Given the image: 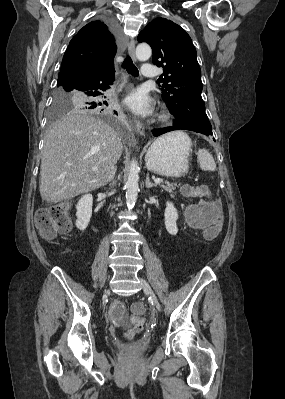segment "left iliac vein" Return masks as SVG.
I'll return each instance as SVG.
<instances>
[{
  "label": "left iliac vein",
  "instance_id": "left-iliac-vein-1",
  "mask_svg": "<svg viewBox=\"0 0 285 399\" xmlns=\"http://www.w3.org/2000/svg\"><path fill=\"white\" fill-rule=\"evenodd\" d=\"M140 283H141V286H142L143 290L150 297V299L154 303V305L157 308V310L160 311L161 310V304H160L159 300L157 299V297L155 296V294H154L152 288L150 287V285L148 284V282L144 278L140 277Z\"/></svg>",
  "mask_w": 285,
  "mask_h": 399
}]
</instances>
